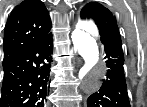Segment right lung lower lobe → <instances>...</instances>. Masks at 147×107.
Returning a JSON list of instances; mask_svg holds the SVG:
<instances>
[{"mask_svg":"<svg viewBox=\"0 0 147 107\" xmlns=\"http://www.w3.org/2000/svg\"><path fill=\"white\" fill-rule=\"evenodd\" d=\"M52 34L3 62L0 107H45L52 62Z\"/></svg>","mask_w":147,"mask_h":107,"instance_id":"right-lung-lower-lobe-1","label":"right lung lower lobe"}]
</instances>
